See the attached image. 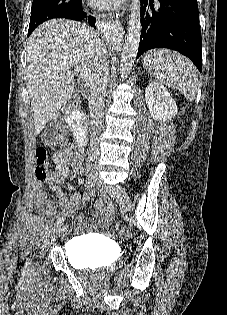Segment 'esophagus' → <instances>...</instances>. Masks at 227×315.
<instances>
[{
    "label": "esophagus",
    "mask_w": 227,
    "mask_h": 315,
    "mask_svg": "<svg viewBox=\"0 0 227 315\" xmlns=\"http://www.w3.org/2000/svg\"><path fill=\"white\" fill-rule=\"evenodd\" d=\"M111 19H112L113 24H115V26H119L121 24L118 18L112 16Z\"/></svg>",
    "instance_id": "1"
}]
</instances>
